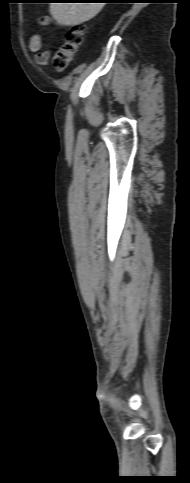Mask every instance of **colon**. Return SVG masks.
<instances>
[{
    "mask_svg": "<svg viewBox=\"0 0 190 483\" xmlns=\"http://www.w3.org/2000/svg\"><path fill=\"white\" fill-rule=\"evenodd\" d=\"M84 30L81 25L74 26L66 36L65 42L56 50L53 64L57 71H63L73 60L82 43Z\"/></svg>",
    "mask_w": 190,
    "mask_h": 483,
    "instance_id": "1",
    "label": "colon"
}]
</instances>
